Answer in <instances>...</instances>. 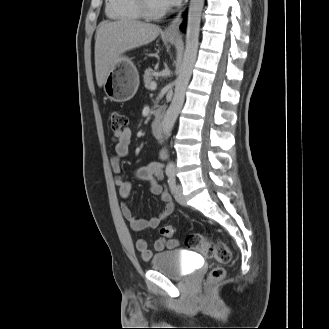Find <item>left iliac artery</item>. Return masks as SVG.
<instances>
[{
  "label": "left iliac artery",
  "mask_w": 329,
  "mask_h": 329,
  "mask_svg": "<svg viewBox=\"0 0 329 329\" xmlns=\"http://www.w3.org/2000/svg\"><path fill=\"white\" fill-rule=\"evenodd\" d=\"M168 185H169L171 191L174 192L175 187H176V178H175L174 174L169 175Z\"/></svg>",
  "instance_id": "obj_1"
}]
</instances>
